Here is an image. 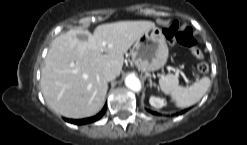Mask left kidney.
<instances>
[{"label":"left kidney","mask_w":247,"mask_h":145,"mask_svg":"<svg viewBox=\"0 0 247 145\" xmlns=\"http://www.w3.org/2000/svg\"><path fill=\"white\" fill-rule=\"evenodd\" d=\"M149 102H150V105L156 109H160L167 104L165 99L160 98V97H155V96H151L149 99Z\"/></svg>","instance_id":"left-kidney-1"}]
</instances>
